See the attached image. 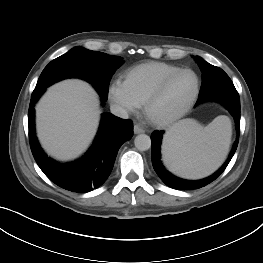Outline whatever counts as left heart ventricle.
<instances>
[{
	"label": "left heart ventricle",
	"instance_id": "obj_1",
	"mask_svg": "<svg viewBox=\"0 0 263 263\" xmlns=\"http://www.w3.org/2000/svg\"><path fill=\"white\" fill-rule=\"evenodd\" d=\"M195 85L196 79L191 72L176 76L154 104L153 115L166 117L180 110L193 94Z\"/></svg>",
	"mask_w": 263,
	"mask_h": 263
}]
</instances>
